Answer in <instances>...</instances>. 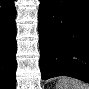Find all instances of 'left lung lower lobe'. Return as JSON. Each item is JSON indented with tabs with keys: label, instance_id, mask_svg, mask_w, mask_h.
Wrapping results in <instances>:
<instances>
[{
	"label": "left lung lower lobe",
	"instance_id": "0a47b994",
	"mask_svg": "<svg viewBox=\"0 0 89 89\" xmlns=\"http://www.w3.org/2000/svg\"><path fill=\"white\" fill-rule=\"evenodd\" d=\"M40 69L43 79H89V0H41Z\"/></svg>",
	"mask_w": 89,
	"mask_h": 89
}]
</instances>
